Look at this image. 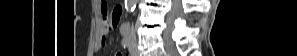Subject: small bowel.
Returning <instances> with one entry per match:
<instances>
[{
  "mask_svg": "<svg viewBox=\"0 0 297 56\" xmlns=\"http://www.w3.org/2000/svg\"><path fill=\"white\" fill-rule=\"evenodd\" d=\"M99 9L101 12V22L99 26V36L95 46V49L97 51L100 50L105 45L107 34L111 29L116 27L122 13V9L120 7H117L113 10L111 14H109L107 5L104 1L99 2ZM116 55L122 56L121 53H117Z\"/></svg>",
  "mask_w": 297,
  "mask_h": 56,
  "instance_id": "c3829d8e",
  "label": "small bowel"
}]
</instances>
